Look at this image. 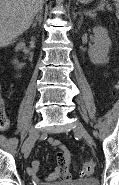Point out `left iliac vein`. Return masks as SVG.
I'll return each mask as SVG.
<instances>
[{
	"instance_id": "obj_1",
	"label": "left iliac vein",
	"mask_w": 119,
	"mask_h": 185,
	"mask_svg": "<svg viewBox=\"0 0 119 185\" xmlns=\"http://www.w3.org/2000/svg\"><path fill=\"white\" fill-rule=\"evenodd\" d=\"M74 131L76 134L82 136L84 138V140L90 146L94 145L92 137L89 135L88 131L85 129V127L79 121L76 122L75 127H74Z\"/></svg>"
}]
</instances>
